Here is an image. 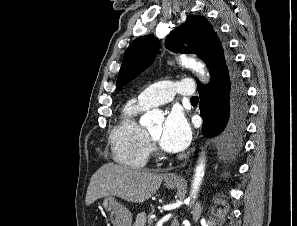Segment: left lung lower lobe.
Returning a JSON list of instances; mask_svg holds the SVG:
<instances>
[{"mask_svg": "<svg viewBox=\"0 0 297 226\" xmlns=\"http://www.w3.org/2000/svg\"><path fill=\"white\" fill-rule=\"evenodd\" d=\"M198 91L203 132L207 135L222 133L226 150L238 152L246 129L248 106L246 91L233 60L226 70L211 78L208 86L199 84Z\"/></svg>", "mask_w": 297, "mask_h": 226, "instance_id": "left-lung-lower-lobe-1", "label": "left lung lower lobe"}]
</instances>
